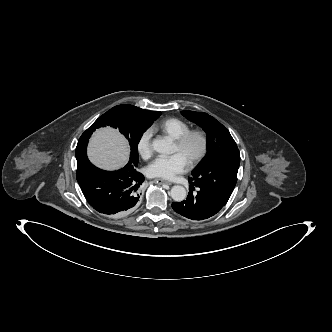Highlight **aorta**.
Here are the masks:
<instances>
[{
    "instance_id": "762f6f07",
    "label": "aorta",
    "mask_w": 332,
    "mask_h": 332,
    "mask_svg": "<svg viewBox=\"0 0 332 332\" xmlns=\"http://www.w3.org/2000/svg\"><path fill=\"white\" fill-rule=\"evenodd\" d=\"M153 149L158 153H168L170 151L171 144L165 139H155L152 142ZM171 197L175 202H182L186 199L187 193L183 186H173L171 189Z\"/></svg>"
}]
</instances>
